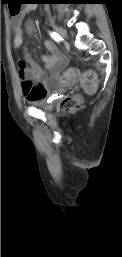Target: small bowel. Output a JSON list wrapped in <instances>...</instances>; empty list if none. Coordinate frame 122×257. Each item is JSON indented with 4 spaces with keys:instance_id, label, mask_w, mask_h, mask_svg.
Segmentation results:
<instances>
[{
    "instance_id": "obj_1",
    "label": "small bowel",
    "mask_w": 122,
    "mask_h": 257,
    "mask_svg": "<svg viewBox=\"0 0 122 257\" xmlns=\"http://www.w3.org/2000/svg\"><path fill=\"white\" fill-rule=\"evenodd\" d=\"M33 10H35L34 5H26L23 10L12 17L14 48H19L23 43V26L29 35H35L34 24L25 20L26 15ZM44 45L47 53L41 56V61L49 70V73L42 69L28 54H26V59H17V64H26L27 62L26 67L18 68V73L23 95L28 101L46 98L50 89L56 86L62 70L67 65L66 55L52 41L46 40ZM15 57H24V52H15Z\"/></svg>"
}]
</instances>
